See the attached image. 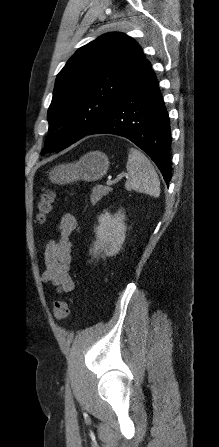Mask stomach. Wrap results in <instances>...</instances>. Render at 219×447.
<instances>
[{
  "mask_svg": "<svg viewBox=\"0 0 219 447\" xmlns=\"http://www.w3.org/2000/svg\"><path fill=\"white\" fill-rule=\"evenodd\" d=\"M108 168V157L100 151H93L85 154L77 162L55 166L49 172V178L57 184L78 180L96 181L107 173Z\"/></svg>",
  "mask_w": 219,
  "mask_h": 447,
  "instance_id": "obj_1",
  "label": "stomach"
}]
</instances>
